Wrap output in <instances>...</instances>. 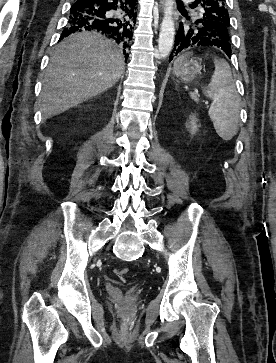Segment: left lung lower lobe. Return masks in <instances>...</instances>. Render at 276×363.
<instances>
[{"label":"left lung lower lobe","mask_w":276,"mask_h":363,"mask_svg":"<svg viewBox=\"0 0 276 363\" xmlns=\"http://www.w3.org/2000/svg\"><path fill=\"white\" fill-rule=\"evenodd\" d=\"M210 29L209 24L205 21L201 25L191 23L189 29H185L180 24L176 35L174 48L169 56V62L180 52H186L197 46H217L220 47L229 58H231V46L216 36ZM217 38V39H216Z\"/></svg>","instance_id":"left-lung-lower-lobe-1"}]
</instances>
